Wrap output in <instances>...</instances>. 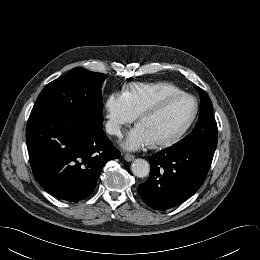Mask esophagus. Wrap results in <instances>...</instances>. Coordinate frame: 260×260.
Instances as JSON below:
<instances>
[{
    "label": "esophagus",
    "instance_id": "obj_1",
    "mask_svg": "<svg viewBox=\"0 0 260 260\" xmlns=\"http://www.w3.org/2000/svg\"><path fill=\"white\" fill-rule=\"evenodd\" d=\"M124 159L128 162L133 161L135 159V156L132 154H125Z\"/></svg>",
    "mask_w": 260,
    "mask_h": 260
}]
</instances>
